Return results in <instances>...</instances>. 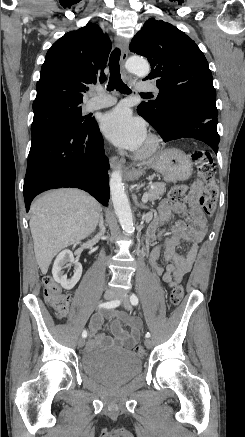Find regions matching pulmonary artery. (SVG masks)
Returning a JSON list of instances; mask_svg holds the SVG:
<instances>
[{"instance_id": "1", "label": "pulmonary artery", "mask_w": 245, "mask_h": 437, "mask_svg": "<svg viewBox=\"0 0 245 437\" xmlns=\"http://www.w3.org/2000/svg\"><path fill=\"white\" fill-rule=\"evenodd\" d=\"M135 89L140 92L153 91L156 94L159 93V89L150 82H140L136 84ZM96 94L91 100L86 104L87 110H97L106 107H110L116 103V99L108 94H106L101 88H96L94 90Z\"/></svg>"}]
</instances>
